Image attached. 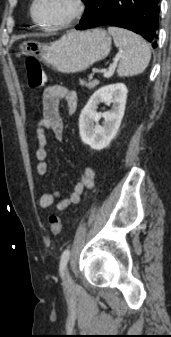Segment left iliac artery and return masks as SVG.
<instances>
[{
  "label": "left iliac artery",
  "mask_w": 171,
  "mask_h": 337,
  "mask_svg": "<svg viewBox=\"0 0 171 337\" xmlns=\"http://www.w3.org/2000/svg\"><path fill=\"white\" fill-rule=\"evenodd\" d=\"M70 257V250L66 249L63 251L62 255H61V260H60V274L61 276H63V271L68 263Z\"/></svg>",
  "instance_id": "left-iliac-artery-1"
}]
</instances>
